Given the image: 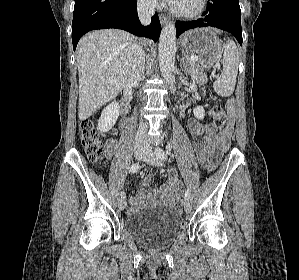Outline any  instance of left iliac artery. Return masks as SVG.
<instances>
[{"label": "left iliac artery", "instance_id": "44dca946", "mask_svg": "<svg viewBox=\"0 0 299 280\" xmlns=\"http://www.w3.org/2000/svg\"><path fill=\"white\" fill-rule=\"evenodd\" d=\"M166 149H167L166 152L163 149L159 148V147H157L155 149V154H156V156H157L158 159H160V160H166L167 159L168 154H170V147L167 146ZM190 192L191 191L188 188L187 191L185 192V196H184V198L186 200H188L190 198Z\"/></svg>", "mask_w": 299, "mask_h": 280}]
</instances>
